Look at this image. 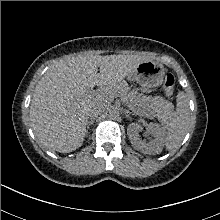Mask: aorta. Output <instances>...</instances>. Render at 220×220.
<instances>
[{
    "mask_svg": "<svg viewBox=\"0 0 220 220\" xmlns=\"http://www.w3.org/2000/svg\"><path fill=\"white\" fill-rule=\"evenodd\" d=\"M119 116V111L117 109L109 110V117L110 118H117Z\"/></svg>",
    "mask_w": 220,
    "mask_h": 220,
    "instance_id": "1",
    "label": "aorta"
}]
</instances>
